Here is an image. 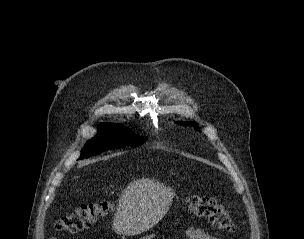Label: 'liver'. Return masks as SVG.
<instances>
[{"label":"liver","mask_w":304,"mask_h":239,"mask_svg":"<svg viewBox=\"0 0 304 239\" xmlns=\"http://www.w3.org/2000/svg\"><path fill=\"white\" fill-rule=\"evenodd\" d=\"M174 196L172 188L154 179L134 180L119 197L113 229L128 236L146 232L166 215Z\"/></svg>","instance_id":"obj_1"}]
</instances>
